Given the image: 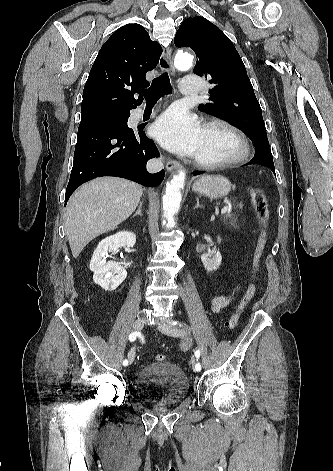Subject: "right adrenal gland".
<instances>
[{
	"instance_id": "obj_1",
	"label": "right adrenal gland",
	"mask_w": 333,
	"mask_h": 471,
	"mask_svg": "<svg viewBox=\"0 0 333 471\" xmlns=\"http://www.w3.org/2000/svg\"><path fill=\"white\" fill-rule=\"evenodd\" d=\"M142 206H143V202H142V201H140V203H139V206H138V209H137L136 213H135V214L132 216L133 218H134L135 216H137V215H140V216H142V212H141Z\"/></svg>"
}]
</instances>
